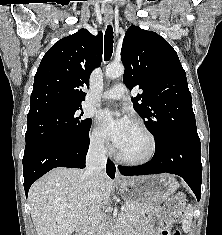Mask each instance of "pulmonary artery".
Listing matches in <instances>:
<instances>
[{"instance_id":"obj_1","label":"pulmonary artery","mask_w":222,"mask_h":235,"mask_svg":"<svg viewBox=\"0 0 222 235\" xmlns=\"http://www.w3.org/2000/svg\"><path fill=\"white\" fill-rule=\"evenodd\" d=\"M127 95V88L123 84H117L114 87L106 90L101 95L102 100H120Z\"/></svg>"}]
</instances>
